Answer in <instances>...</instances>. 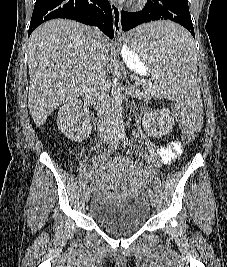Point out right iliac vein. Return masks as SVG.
I'll return each instance as SVG.
<instances>
[{"instance_id": "1", "label": "right iliac vein", "mask_w": 227, "mask_h": 267, "mask_svg": "<svg viewBox=\"0 0 227 267\" xmlns=\"http://www.w3.org/2000/svg\"><path fill=\"white\" fill-rule=\"evenodd\" d=\"M103 142L104 143H109V138H103ZM90 195H91V193H90V189L89 188H87V190H86V192H85V201L87 202V201H89V199H90Z\"/></svg>"}]
</instances>
